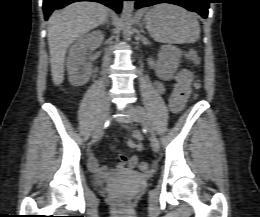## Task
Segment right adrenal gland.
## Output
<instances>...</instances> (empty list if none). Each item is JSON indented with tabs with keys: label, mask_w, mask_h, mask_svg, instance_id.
Here are the masks:
<instances>
[{
	"label": "right adrenal gland",
	"mask_w": 260,
	"mask_h": 217,
	"mask_svg": "<svg viewBox=\"0 0 260 217\" xmlns=\"http://www.w3.org/2000/svg\"><path fill=\"white\" fill-rule=\"evenodd\" d=\"M107 25V27L109 26V18L107 19V21L105 23L102 24V26Z\"/></svg>",
	"instance_id": "right-adrenal-gland-1"
}]
</instances>
